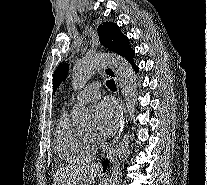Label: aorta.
<instances>
[{
  "label": "aorta",
  "mask_w": 207,
  "mask_h": 185,
  "mask_svg": "<svg viewBox=\"0 0 207 185\" xmlns=\"http://www.w3.org/2000/svg\"><path fill=\"white\" fill-rule=\"evenodd\" d=\"M109 65L115 72L124 95L127 109L133 114L137 104V78L130 63L114 54L87 55L78 60L72 70V86L81 89L99 70ZM73 124L79 129H91L94 125V114L85 106H78L73 111ZM129 134H125L113 152L104 185H121V172L129 154Z\"/></svg>",
  "instance_id": "762f6f07"
}]
</instances>
